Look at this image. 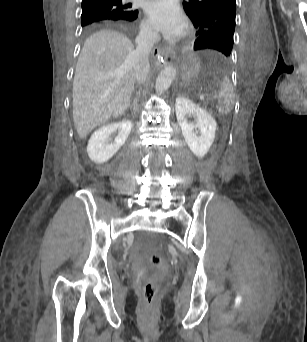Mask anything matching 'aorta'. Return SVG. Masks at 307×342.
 Masks as SVG:
<instances>
[{"mask_svg": "<svg viewBox=\"0 0 307 342\" xmlns=\"http://www.w3.org/2000/svg\"><path fill=\"white\" fill-rule=\"evenodd\" d=\"M175 76H176V70L175 68H173V66H167V68H164V70H162V72H160L159 76H157L156 78V84H155L156 92H160V94H163L165 90H168Z\"/></svg>", "mask_w": 307, "mask_h": 342, "instance_id": "762f6f07", "label": "aorta"}]
</instances>
